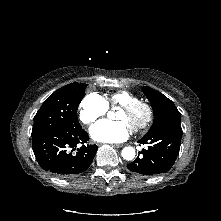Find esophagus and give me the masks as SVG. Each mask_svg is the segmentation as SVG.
Wrapping results in <instances>:
<instances>
[{
	"instance_id": "34e87169",
	"label": "esophagus",
	"mask_w": 221,
	"mask_h": 221,
	"mask_svg": "<svg viewBox=\"0 0 221 221\" xmlns=\"http://www.w3.org/2000/svg\"><path fill=\"white\" fill-rule=\"evenodd\" d=\"M123 146H124V144H112V147H114V148H121Z\"/></svg>"
}]
</instances>
